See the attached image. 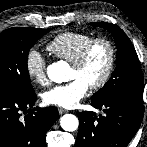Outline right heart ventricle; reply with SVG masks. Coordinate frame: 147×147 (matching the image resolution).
<instances>
[{"mask_svg":"<svg viewBox=\"0 0 147 147\" xmlns=\"http://www.w3.org/2000/svg\"><path fill=\"white\" fill-rule=\"evenodd\" d=\"M94 37L87 33L64 32L52 39L47 49L58 59L72 63Z\"/></svg>","mask_w":147,"mask_h":147,"instance_id":"obj_1","label":"right heart ventricle"}]
</instances>
